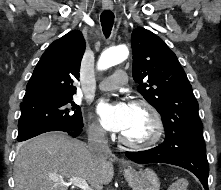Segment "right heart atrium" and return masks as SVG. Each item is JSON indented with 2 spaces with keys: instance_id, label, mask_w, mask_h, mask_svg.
Here are the masks:
<instances>
[{
  "instance_id": "1",
  "label": "right heart atrium",
  "mask_w": 221,
  "mask_h": 190,
  "mask_svg": "<svg viewBox=\"0 0 221 190\" xmlns=\"http://www.w3.org/2000/svg\"><path fill=\"white\" fill-rule=\"evenodd\" d=\"M88 134L95 141H103L105 139V131L96 121H91L88 126Z\"/></svg>"
}]
</instances>
